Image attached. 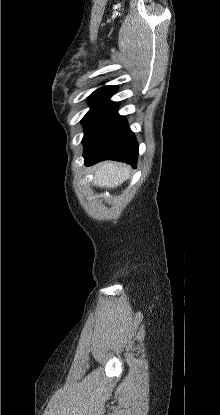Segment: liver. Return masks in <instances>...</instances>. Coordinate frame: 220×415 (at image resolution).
Returning <instances> with one entry per match:
<instances>
[{"label": "liver", "mask_w": 220, "mask_h": 415, "mask_svg": "<svg viewBox=\"0 0 220 415\" xmlns=\"http://www.w3.org/2000/svg\"><path fill=\"white\" fill-rule=\"evenodd\" d=\"M130 176V168L107 161L95 168L93 183L99 187L115 188Z\"/></svg>", "instance_id": "obj_1"}]
</instances>
